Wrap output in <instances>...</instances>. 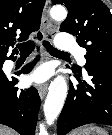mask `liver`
Instances as JSON below:
<instances>
[{
    "mask_svg": "<svg viewBox=\"0 0 112 135\" xmlns=\"http://www.w3.org/2000/svg\"><path fill=\"white\" fill-rule=\"evenodd\" d=\"M0 135H17V134L12 129L0 125Z\"/></svg>",
    "mask_w": 112,
    "mask_h": 135,
    "instance_id": "6515ba94",
    "label": "liver"
}]
</instances>
